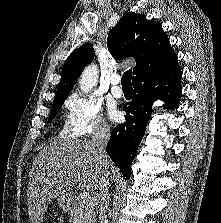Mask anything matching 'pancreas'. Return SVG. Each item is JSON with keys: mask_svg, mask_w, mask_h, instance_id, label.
Wrapping results in <instances>:
<instances>
[{"mask_svg": "<svg viewBox=\"0 0 221 223\" xmlns=\"http://www.w3.org/2000/svg\"><path fill=\"white\" fill-rule=\"evenodd\" d=\"M70 223H95V205H87L85 200L74 205L69 213Z\"/></svg>", "mask_w": 221, "mask_h": 223, "instance_id": "pancreas-1", "label": "pancreas"}]
</instances>
